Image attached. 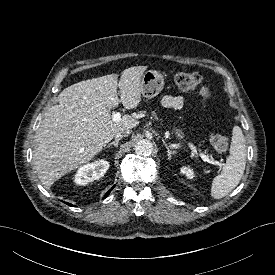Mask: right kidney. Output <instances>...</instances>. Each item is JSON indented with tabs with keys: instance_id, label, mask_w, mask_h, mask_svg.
<instances>
[{
	"instance_id": "ca27d5eb",
	"label": "right kidney",
	"mask_w": 275,
	"mask_h": 275,
	"mask_svg": "<svg viewBox=\"0 0 275 275\" xmlns=\"http://www.w3.org/2000/svg\"><path fill=\"white\" fill-rule=\"evenodd\" d=\"M109 166L110 164L106 160L87 163L78 169L74 177V182L78 185H86L94 180H98L104 176Z\"/></svg>"
}]
</instances>
